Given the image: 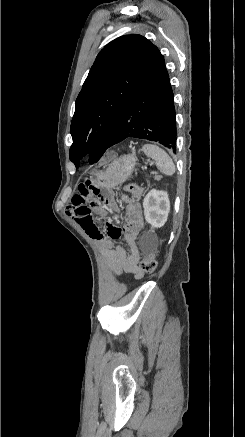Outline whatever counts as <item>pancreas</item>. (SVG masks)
<instances>
[{
    "label": "pancreas",
    "mask_w": 245,
    "mask_h": 437,
    "mask_svg": "<svg viewBox=\"0 0 245 437\" xmlns=\"http://www.w3.org/2000/svg\"><path fill=\"white\" fill-rule=\"evenodd\" d=\"M152 174H155V179L158 180L160 178V176L156 175V172H152Z\"/></svg>",
    "instance_id": "pancreas-1"
}]
</instances>
